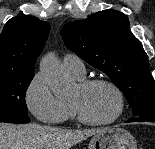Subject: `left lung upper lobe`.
I'll return each instance as SVG.
<instances>
[{
    "mask_svg": "<svg viewBox=\"0 0 155 149\" xmlns=\"http://www.w3.org/2000/svg\"><path fill=\"white\" fill-rule=\"evenodd\" d=\"M60 33L70 50L106 73L123 91L133 116L155 111V82L148 56L131 33L125 14L99 11L87 19L69 23Z\"/></svg>",
    "mask_w": 155,
    "mask_h": 149,
    "instance_id": "left-lung-upper-lobe-1",
    "label": "left lung upper lobe"
}]
</instances>
